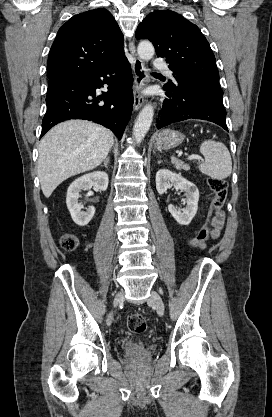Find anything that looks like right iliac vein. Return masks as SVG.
Here are the masks:
<instances>
[{"label":"right iliac vein","mask_w":272,"mask_h":417,"mask_svg":"<svg viewBox=\"0 0 272 417\" xmlns=\"http://www.w3.org/2000/svg\"><path fill=\"white\" fill-rule=\"evenodd\" d=\"M123 298L124 295L122 292L117 293L113 302L114 307H117L123 301Z\"/></svg>","instance_id":"right-iliac-vein-1"}]
</instances>
